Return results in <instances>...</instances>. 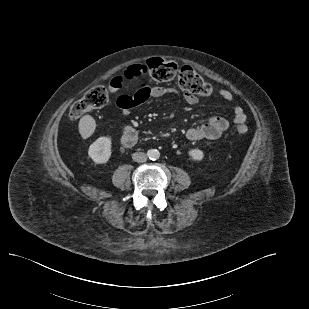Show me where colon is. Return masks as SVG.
Wrapping results in <instances>:
<instances>
[{"instance_id":"colon-1","label":"colon","mask_w":309,"mask_h":309,"mask_svg":"<svg viewBox=\"0 0 309 309\" xmlns=\"http://www.w3.org/2000/svg\"><path fill=\"white\" fill-rule=\"evenodd\" d=\"M146 67L152 78L159 82L178 80L180 88L195 96H208L212 88L192 67L179 66L175 62L161 58H152L147 61ZM139 67L132 66L130 73L136 76ZM108 102V92L104 86L98 85L89 89L84 97L77 101L70 110L72 120L80 119L87 112L98 109ZM248 128L244 124L237 126L239 134H246Z\"/></svg>"}]
</instances>
